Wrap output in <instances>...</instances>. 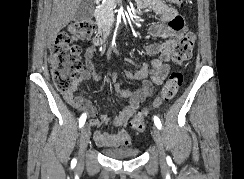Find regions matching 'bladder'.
<instances>
[{"label": "bladder", "mask_w": 244, "mask_h": 179, "mask_svg": "<svg viewBox=\"0 0 244 179\" xmlns=\"http://www.w3.org/2000/svg\"><path fill=\"white\" fill-rule=\"evenodd\" d=\"M102 153L106 157L114 159H131L135 158L139 154V149L134 147L123 148V149H109L101 148Z\"/></svg>", "instance_id": "1"}]
</instances>
